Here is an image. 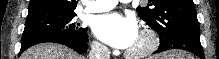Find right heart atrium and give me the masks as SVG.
I'll use <instances>...</instances> for the list:
<instances>
[{"label": "right heart atrium", "instance_id": "d8ad5b80", "mask_svg": "<svg viewBox=\"0 0 219 59\" xmlns=\"http://www.w3.org/2000/svg\"><path fill=\"white\" fill-rule=\"evenodd\" d=\"M93 49L96 52V54L99 56L103 55L105 53V50H106L104 45H102L101 43H99L97 41H95L93 43Z\"/></svg>", "mask_w": 219, "mask_h": 59}]
</instances>
